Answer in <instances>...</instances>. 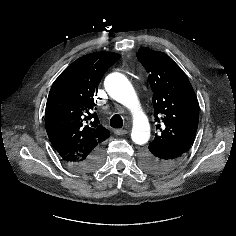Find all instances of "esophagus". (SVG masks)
<instances>
[{"instance_id":"esophagus-1","label":"esophagus","mask_w":236,"mask_h":236,"mask_svg":"<svg viewBox=\"0 0 236 236\" xmlns=\"http://www.w3.org/2000/svg\"><path fill=\"white\" fill-rule=\"evenodd\" d=\"M114 134H116V135H125V134H127V130H124V129H116V130H114Z\"/></svg>"}]
</instances>
